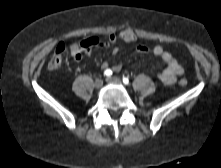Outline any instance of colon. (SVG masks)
<instances>
[{
    "label": "colon",
    "instance_id": "obj_1",
    "mask_svg": "<svg viewBox=\"0 0 221 168\" xmlns=\"http://www.w3.org/2000/svg\"><path fill=\"white\" fill-rule=\"evenodd\" d=\"M109 39L112 42L134 43L137 40V35L135 34V31L133 29H123L122 31H117L116 33H110ZM97 43H98L97 39H90L79 45L72 46L71 55L73 56V58L77 60L80 57H82L86 49ZM65 52H66L65 45L63 43L58 44L57 47L55 48V51L51 59L48 62V69L55 70L59 68L62 65ZM179 83L181 86H185L187 84L186 80L184 79L180 80Z\"/></svg>",
    "mask_w": 221,
    "mask_h": 168
}]
</instances>
